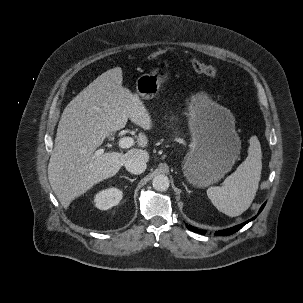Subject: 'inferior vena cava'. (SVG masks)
<instances>
[{"label":"inferior vena cava","instance_id":"obj_1","mask_svg":"<svg viewBox=\"0 0 303 303\" xmlns=\"http://www.w3.org/2000/svg\"><path fill=\"white\" fill-rule=\"evenodd\" d=\"M125 168L132 174H141L146 170V161L141 157H132L124 162Z\"/></svg>","mask_w":303,"mask_h":303}]
</instances>
